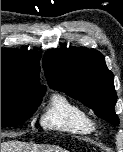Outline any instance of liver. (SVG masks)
<instances>
[{
    "label": "liver",
    "mask_w": 123,
    "mask_h": 152,
    "mask_svg": "<svg viewBox=\"0 0 123 152\" xmlns=\"http://www.w3.org/2000/svg\"><path fill=\"white\" fill-rule=\"evenodd\" d=\"M1 152H67L59 147L38 146L20 141L1 142Z\"/></svg>",
    "instance_id": "6515ba94"
}]
</instances>
